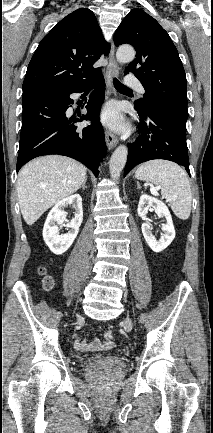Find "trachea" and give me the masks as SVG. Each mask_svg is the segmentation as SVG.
I'll return each instance as SVG.
<instances>
[{
	"label": "trachea",
	"instance_id": "trachea-1",
	"mask_svg": "<svg viewBox=\"0 0 213 433\" xmlns=\"http://www.w3.org/2000/svg\"><path fill=\"white\" fill-rule=\"evenodd\" d=\"M113 83L116 89H129L126 86H124L122 83H120L116 78H114Z\"/></svg>",
	"mask_w": 213,
	"mask_h": 433
}]
</instances>
